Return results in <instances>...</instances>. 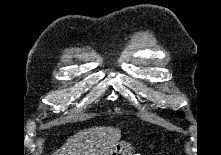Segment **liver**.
I'll list each match as a JSON object with an SVG mask.
<instances>
[{
	"mask_svg": "<svg viewBox=\"0 0 221 155\" xmlns=\"http://www.w3.org/2000/svg\"><path fill=\"white\" fill-rule=\"evenodd\" d=\"M121 137L113 127L84 129L70 137L53 155H110Z\"/></svg>",
	"mask_w": 221,
	"mask_h": 155,
	"instance_id": "liver-1",
	"label": "liver"
}]
</instances>
